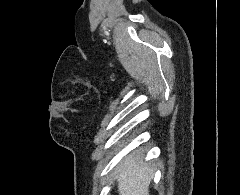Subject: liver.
I'll list each match as a JSON object with an SVG mask.
<instances>
[{"label":"liver","instance_id":"liver-1","mask_svg":"<svg viewBox=\"0 0 240 195\" xmlns=\"http://www.w3.org/2000/svg\"><path fill=\"white\" fill-rule=\"evenodd\" d=\"M115 169L119 195H149L154 171L148 163H142L141 159L135 161V157L126 155Z\"/></svg>","mask_w":240,"mask_h":195}]
</instances>
